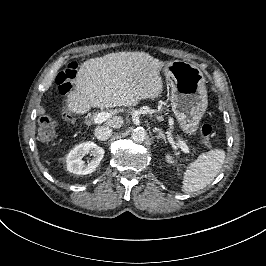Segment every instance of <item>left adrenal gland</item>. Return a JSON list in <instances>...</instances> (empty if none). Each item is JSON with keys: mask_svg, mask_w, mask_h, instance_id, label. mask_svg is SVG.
<instances>
[{"mask_svg": "<svg viewBox=\"0 0 266 266\" xmlns=\"http://www.w3.org/2000/svg\"><path fill=\"white\" fill-rule=\"evenodd\" d=\"M154 132H157L159 134V137H158L159 140L162 139L166 143L165 135H164V133L162 132L161 129L154 128Z\"/></svg>", "mask_w": 266, "mask_h": 266, "instance_id": "a2214340", "label": "left adrenal gland"}]
</instances>
